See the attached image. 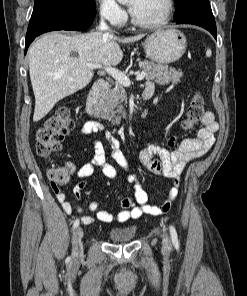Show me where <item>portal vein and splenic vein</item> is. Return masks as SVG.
Returning a JSON list of instances; mask_svg holds the SVG:
<instances>
[{
	"label": "portal vein and splenic vein",
	"instance_id": "portal-vein-and-splenic-vein-1",
	"mask_svg": "<svg viewBox=\"0 0 247 296\" xmlns=\"http://www.w3.org/2000/svg\"><path fill=\"white\" fill-rule=\"evenodd\" d=\"M86 68L88 69H104L109 75H111L119 84H121L124 87H129L131 85L130 79L127 77V75L113 67H103L100 64H87ZM146 76L145 72H141L136 76V80L140 81L143 80Z\"/></svg>",
	"mask_w": 247,
	"mask_h": 296
}]
</instances>
